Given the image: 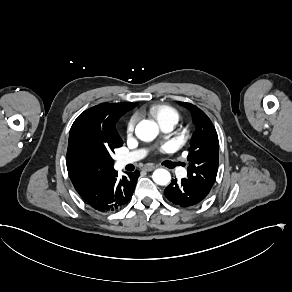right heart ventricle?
<instances>
[{
	"mask_svg": "<svg viewBox=\"0 0 292 292\" xmlns=\"http://www.w3.org/2000/svg\"><path fill=\"white\" fill-rule=\"evenodd\" d=\"M148 111L158 123L167 119H175L176 121L179 120L178 111L167 104H154L150 106Z\"/></svg>",
	"mask_w": 292,
	"mask_h": 292,
	"instance_id": "e07e8e85",
	"label": "right heart ventricle"
}]
</instances>
